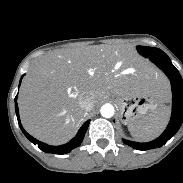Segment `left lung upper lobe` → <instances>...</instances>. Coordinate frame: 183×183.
I'll return each instance as SVG.
<instances>
[{
	"mask_svg": "<svg viewBox=\"0 0 183 183\" xmlns=\"http://www.w3.org/2000/svg\"><path fill=\"white\" fill-rule=\"evenodd\" d=\"M137 50L142 56L147 58L165 54L162 50L158 48H151L146 46H137Z\"/></svg>",
	"mask_w": 183,
	"mask_h": 183,
	"instance_id": "5c2ea615",
	"label": "left lung upper lobe"
}]
</instances>
